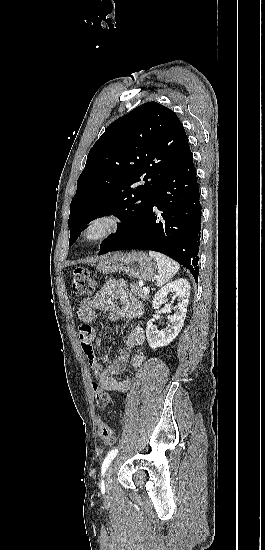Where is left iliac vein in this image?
Here are the masks:
<instances>
[{
  "label": "left iliac vein",
  "instance_id": "4c4485c4",
  "mask_svg": "<svg viewBox=\"0 0 265 550\" xmlns=\"http://www.w3.org/2000/svg\"><path fill=\"white\" fill-rule=\"evenodd\" d=\"M111 471L112 469L109 468L104 474V483L106 486H110L111 484Z\"/></svg>",
  "mask_w": 265,
  "mask_h": 550
}]
</instances>
